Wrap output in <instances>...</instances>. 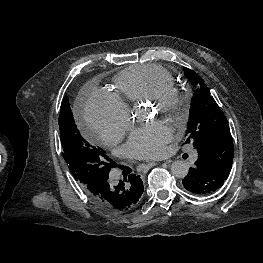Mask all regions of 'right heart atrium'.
<instances>
[{
    "mask_svg": "<svg viewBox=\"0 0 263 263\" xmlns=\"http://www.w3.org/2000/svg\"><path fill=\"white\" fill-rule=\"evenodd\" d=\"M85 120L88 128L104 145L117 141L131 126L129 110L113 95L99 91L88 97Z\"/></svg>",
    "mask_w": 263,
    "mask_h": 263,
    "instance_id": "right-heart-atrium-1",
    "label": "right heart atrium"
}]
</instances>
